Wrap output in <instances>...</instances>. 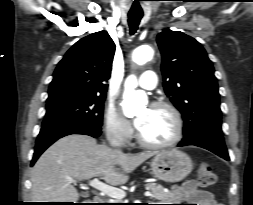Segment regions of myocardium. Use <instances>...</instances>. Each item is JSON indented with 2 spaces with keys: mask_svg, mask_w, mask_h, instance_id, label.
I'll use <instances>...</instances> for the list:
<instances>
[{
  "mask_svg": "<svg viewBox=\"0 0 253 205\" xmlns=\"http://www.w3.org/2000/svg\"><path fill=\"white\" fill-rule=\"evenodd\" d=\"M151 108L165 109L170 112L175 124L174 135L170 140L166 142L153 143V142H149L145 140L140 135L139 131L137 130L136 135H135L137 142L141 146L149 148V149H164V148L172 147L176 145L178 142H180L184 134V122H183V118L180 111L173 104L166 101H156L151 105Z\"/></svg>",
  "mask_w": 253,
  "mask_h": 205,
  "instance_id": "1",
  "label": "myocardium"
}]
</instances>
